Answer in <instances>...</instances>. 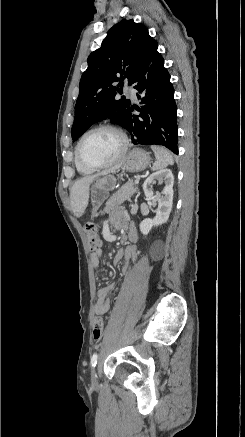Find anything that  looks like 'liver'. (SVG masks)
<instances>
[{
    "label": "liver",
    "instance_id": "obj_1",
    "mask_svg": "<svg viewBox=\"0 0 245 437\" xmlns=\"http://www.w3.org/2000/svg\"><path fill=\"white\" fill-rule=\"evenodd\" d=\"M120 166H116L110 170L104 171L101 175H106L115 172ZM99 175L86 176L77 180L70 190V204L74 215L81 217L89 202L90 185Z\"/></svg>",
    "mask_w": 245,
    "mask_h": 437
}]
</instances>
